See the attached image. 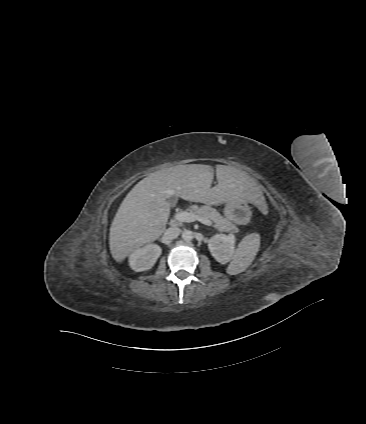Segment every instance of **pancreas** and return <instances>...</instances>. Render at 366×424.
I'll return each instance as SVG.
<instances>
[{"instance_id": "cf45deb5", "label": "pancreas", "mask_w": 366, "mask_h": 424, "mask_svg": "<svg viewBox=\"0 0 366 424\" xmlns=\"http://www.w3.org/2000/svg\"><path fill=\"white\" fill-rule=\"evenodd\" d=\"M190 211L196 213L201 217L211 219L215 223L214 227L221 232H239V229L230 220L221 216V214L211 206H193Z\"/></svg>"}]
</instances>
